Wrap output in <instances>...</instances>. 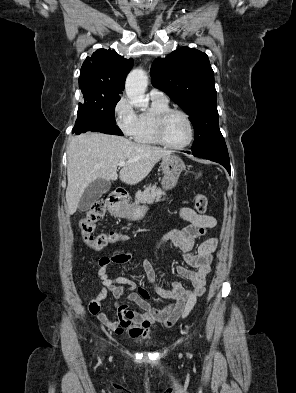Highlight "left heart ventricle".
Here are the masks:
<instances>
[{"mask_svg":"<svg viewBox=\"0 0 296 393\" xmlns=\"http://www.w3.org/2000/svg\"><path fill=\"white\" fill-rule=\"evenodd\" d=\"M165 138L173 145H181L188 140L189 127L181 115L174 114L168 119L165 126Z\"/></svg>","mask_w":296,"mask_h":393,"instance_id":"left-heart-ventricle-1","label":"left heart ventricle"}]
</instances>
